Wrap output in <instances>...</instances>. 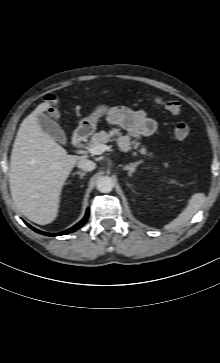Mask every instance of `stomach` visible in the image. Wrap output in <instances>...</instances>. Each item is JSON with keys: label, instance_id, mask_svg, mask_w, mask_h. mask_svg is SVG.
Masks as SVG:
<instances>
[{"label": "stomach", "instance_id": "1", "mask_svg": "<svg viewBox=\"0 0 220 363\" xmlns=\"http://www.w3.org/2000/svg\"><path fill=\"white\" fill-rule=\"evenodd\" d=\"M108 111L109 107L107 105L98 106L88 117L79 121V127L84 128L89 132H94L99 118L106 115Z\"/></svg>", "mask_w": 220, "mask_h": 363}]
</instances>
